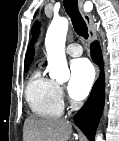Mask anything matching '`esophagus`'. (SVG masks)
<instances>
[{
  "label": "esophagus",
  "mask_w": 119,
  "mask_h": 141,
  "mask_svg": "<svg viewBox=\"0 0 119 141\" xmlns=\"http://www.w3.org/2000/svg\"><path fill=\"white\" fill-rule=\"evenodd\" d=\"M78 3H79L80 11L89 29V43L92 44L96 40V32L94 28V17L92 16V14L84 12L83 10L84 1L83 0H79ZM96 70H97V76H98L99 67L97 65H96Z\"/></svg>",
  "instance_id": "esophagus-1"
}]
</instances>
